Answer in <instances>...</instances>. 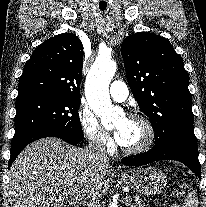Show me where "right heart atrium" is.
<instances>
[{"mask_svg":"<svg viewBox=\"0 0 206 207\" xmlns=\"http://www.w3.org/2000/svg\"><path fill=\"white\" fill-rule=\"evenodd\" d=\"M77 118L83 134L91 145L102 150H111L113 148V142L108 132L86 105L82 104L79 107Z\"/></svg>","mask_w":206,"mask_h":207,"instance_id":"d8ad5b80","label":"right heart atrium"}]
</instances>
